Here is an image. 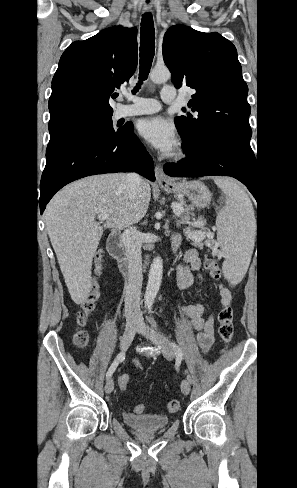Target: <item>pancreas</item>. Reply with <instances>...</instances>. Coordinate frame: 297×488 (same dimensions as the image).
<instances>
[{
    "mask_svg": "<svg viewBox=\"0 0 297 488\" xmlns=\"http://www.w3.org/2000/svg\"><path fill=\"white\" fill-rule=\"evenodd\" d=\"M178 204H180L183 207V203L182 202H179ZM180 216H181V221H178L177 222V225H179L180 223L189 222L190 221V218H191V212L189 211V208H187L185 211L183 210V212L180 214ZM198 223L200 225H202L204 223V220L200 218V219H198ZM191 224H193V223H191ZM195 244L197 246L200 245L199 242H195Z\"/></svg>",
    "mask_w": 297,
    "mask_h": 488,
    "instance_id": "pancreas-1",
    "label": "pancreas"
}]
</instances>
